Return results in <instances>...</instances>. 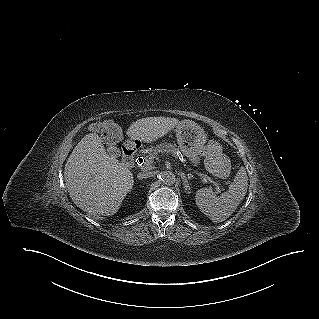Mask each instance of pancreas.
Returning <instances> with one entry per match:
<instances>
[{
	"label": "pancreas",
	"instance_id": "pancreas-1",
	"mask_svg": "<svg viewBox=\"0 0 319 319\" xmlns=\"http://www.w3.org/2000/svg\"><path fill=\"white\" fill-rule=\"evenodd\" d=\"M172 154L173 156H177L178 150L176 145L169 143H160L154 147L148 149V155H146V160L155 159L159 154Z\"/></svg>",
	"mask_w": 319,
	"mask_h": 319
}]
</instances>
